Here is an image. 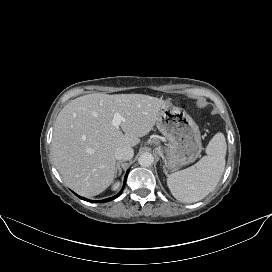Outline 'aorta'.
Returning <instances> with one entry per match:
<instances>
[{"label":"aorta","instance_id":"762f6f07","mask_svg":"<svg viewBox=\"0 0 272 272\" xmlns=\"http://www.w3.org/2000/svg\"><path fill=\"white\" fill-rule=\"evenodd\" d=\"M154 157L151 153L145 152L139 156L138 163L143 167H149L153 164Z\"/></svg>","mask_w":272,"mask_h":272}]
</instances>
